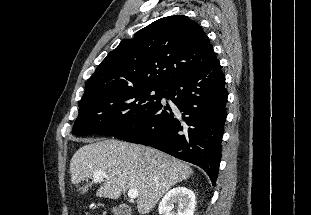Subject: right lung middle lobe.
Listing matches in <instances>:
<instances>
[{
  "instance_id": "right-lung-middle-lobe-1",
  "label": "right lung middle lobe",
  "mask_w": 311,
  "mask_h": 215,
  "mask_svg": "<svg viewBox=\"0 0 311 215\" xmlns=\"http://www.w3.org/2000/svg\"><path fill=\"white\" fill-rule=\"evenodd\" d=\"M163 87H135L81 99L74 135L115 136L134 127L161 104Z\"/></svg>"
}]
</instances>
